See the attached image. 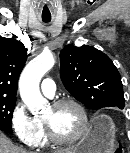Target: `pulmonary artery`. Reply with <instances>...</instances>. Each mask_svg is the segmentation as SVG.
<instances>
[{"label": "pulmonary artery", "instance_id": "obj_1", "mask_svg": "<svg viewBox=\"0 0 130 153\" xmlns=\"http://www.w3.org/2000/svg\"><path fill=\"white\" fill-rule=\"evenodd\" d=\"M41 91L47 97H53L56 91V84L51 78H45L41 83Z\"/></svg>", "mask_w": 130, "mask_h": 153}]
</instances>
